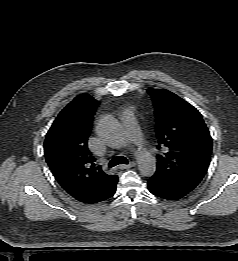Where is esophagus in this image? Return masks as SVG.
<instances>
[{"instance_id":"34e87169","label":"esophagus","mask_w":238,"mask_h":261,"mask_svg":"<svg viewBox=\"0 0 238 261\" xmlns=\"http://www.w3.org/2000/svg\"><path fill=\"white\" fill-rule=\"evenodd\" d=\"M136 165V163L135 162H130L129 164H127V165H120L119 166V169H129V168H131V167H134Z\"/></svg>"}]
</instances>
